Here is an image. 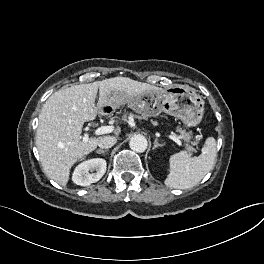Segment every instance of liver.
I'll use <instances>...</instances> for the list:
<instances>
[{
	"label": "liver",
	"mask_w": 264,
	"mask_h": 264,
	"mask_svg": "<svg viewBox=\"0 0 264 264\" xmlns=\"http://www.w3.org/2000/svg\"><path fill=\"white\" fill-rule=\"evenodd\" d=\"M163 89L126 77H114L89 84L74 85L53 93L39 115L36 146L44 173L61 186L69 181L70 169L77 160L94 151L99 138L83 143L81 131L86 121L94 120L103 105H112L111 93L125 99ZM99 91V101L95 99ZM119 131L115 132L118 135Z\"/></svg>",
	"instance_id": "6515ba94"
}]
</instances>
